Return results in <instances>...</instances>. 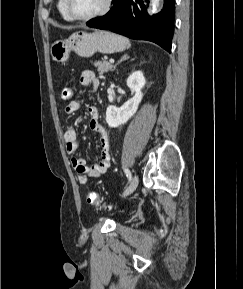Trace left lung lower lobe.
I'll return each instance as SVG.
<instances>
[{
    "label": "left lung lower lobe",
    "instance_id": "0a47b994",
    "mask_svg": "<svg viewBox=\"0 0 243 289\" xmlns=\"http://www.w3.org/2000/svg\"><path fill=\"white\" fill-rule=\"evenodd\" d=\"M174 2L175 0H164L163 10L151 17L146 13L148 0H113V6L106 15L86 24L132 39L148 40L171 52Z\"/></svg>",
    "mask_w": 243,
    "mask_h": 289
}]
</instances>
